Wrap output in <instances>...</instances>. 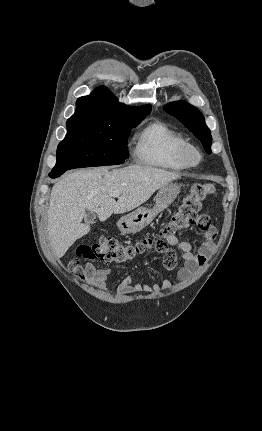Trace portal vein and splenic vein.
<instances>
[{
	"label": "portal vein and splenic vein",
	"instance_id": "1",
	"mask_svg": "<svg viewBox=\"0 0 262 431\" xmlns=\"http://www.w3.org/2000/svg\"><path fill=\"white\" fill-rule=\"evenodd\" d=\"M120 194L121 193L119 191H114V192L111 193V196L115 198V197H119Z\"/></svg>",
	"mask_w": 262,
	"mask_h": 431
}]
</instances>
